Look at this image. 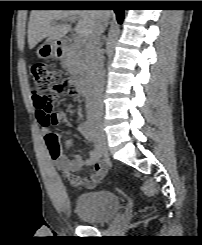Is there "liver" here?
Returning a JSON list of instances; mask_svg holds the SVG:
<instances>
[{"label":"liver","instance_id":"obj_1","mask_svg":"<svg viewBox=\"0 0 202 245\" xmlns=\"http://www.w3.org/2000/svg\"><path fill=\"white\" fill-rule=\"evenodd\" d=\"M111 15V12L93 10H33L28 24L29 48H34L44 38L47 42L63 38L71 30V25L63 22L76 17L78 24L75 31L88 38L99 21H108Z\"/></svg>","mask_w":202,"mask_h":245}]
</instances>
